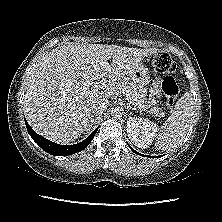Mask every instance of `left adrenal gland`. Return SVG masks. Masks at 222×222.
Wrapping results in <instances>:
<instances>
[{
  "instance_id": "left-adrenal-gland-1",
  "label": "left adrenal gland",
  "mask_w": 222,
  "mask_h": 222,
  "mask_svg": "<svg viewBox=\"0 0 222 222\" xmlns=\"http://www.w3.org/2000/svg\"><path fill=\"white\" fill-rule=\"evenodd\" d=\"M133 110V111H137V109L136 108H133V107H131V105L130 104H127V110Z\"/></svg>"
}]
</instances>
